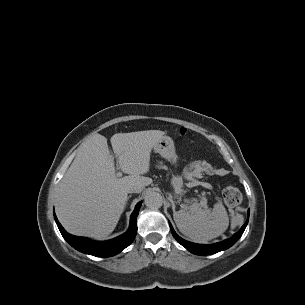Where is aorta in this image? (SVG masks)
Here are the masks:
<instances>
[{
    "instance_id": "obj_1",
    "label": "aorta",
    "mask_w": 305,
    "mask_h": 305,
    "mask_svg": "<svg viewBox=\"0 0 305 305\" xmlns=\"http://www.w3.org/2000/svg\"><path fill=\"white\" fill-rule=\"evenodd\" d=\"M144 202L148 208L158 209L163 204V198L158 192L151 191L145 196Z\"/></svg>"
}]
</instances>
